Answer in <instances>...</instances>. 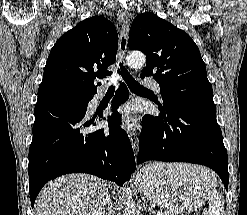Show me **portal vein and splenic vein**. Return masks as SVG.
Here are the masks:
<instances>
[{
	"instance_id": "1",
	"label": "portal vein and splenic vein",
	"mask_w": 247,
	"mask_h": 215,
	"mask_svg": "<svg viewBox=\"0 0 247 215\" xmlns=\"http://www.w3.org/2000/svg\"><path fill=\"white\" fill-rule=\"evenodd\" d=\"M157 215H165V214H163L162 212H157Z\"/></svg>"
}]
</instances>
